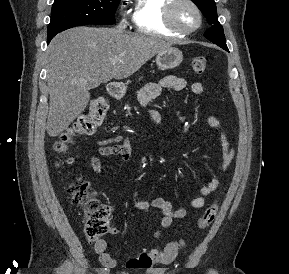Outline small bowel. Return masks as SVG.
Instances as JSON below:
<instances>
[{
    "label": "small bowel",
    "mask_w": 289,
    "mask_h": 274,
    "mask_svg": "<svg viewBox=\"0 0 289 274\" xmlns=\"http://www.w3.org/2000/svg\"><path fill=\"white\" fill-rule=\"evenodd\" d=\"M187 86V81L184 78L176 76H165L159 82H152L145 85L139 92V101L142 105L147 104L151 100L157 98L163 89H171L174 91H181ZM191 91L195 95H202L204 93V86L200 82H195L191 85ZM150 118L154 126L160 129V115L156 110L150 112ZM205 122L208 126L213 128L219 138L221 147V160L217 166V176L207 181L198 191V195L194 197L189 205L191 208L200 209L205 205V198L214 192L220 183V177L228 170L234 158V147L230 144L226 134L221 128L220 122L214 116H207ZM121 136H116L110 140L101 141V146L98 151L101 156H118L123 161H127L131 157V148L128 140L121 145H109L110 143H117L121 141ZM92 169L101 173L104 167L99 158L91 157L89 160ZM134 206L139 211H148L151 207L158 209L161 214L160 228L154 232V237H159L162 232L169 228L174 220L183 219L187 215V208L178 207L173 208V205L168 200L163 198H154L150 202L145 201L134 195ZM117 230L113 228L112 233ZM94 250L99 257L101 264L106 268H113L116 266V260L109 253V245L105 240H97L94 244Z\"/></svg>",
    "instance_id": "obj_1"
}]
</instances>
